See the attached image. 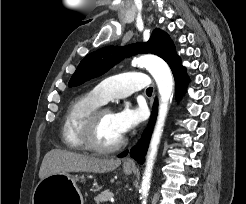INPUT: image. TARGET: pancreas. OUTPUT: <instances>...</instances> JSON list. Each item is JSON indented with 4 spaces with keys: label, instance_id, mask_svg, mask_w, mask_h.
I'll return each instance as SVG.
<instances>
[{
    "label": "pancreas",
    "instance_id": "cf45deb5",
    "mask_svg": "<svg viewBox=\"0 0 246 204\" xmlns=\"http://www.w3.org/2000/svg\"><path fill=\"white\" fill-rule=\"evenodd\" d=\"M112 196H113L112 192H110L109 190H105L102 193L95 196L94 200L96 204H104L105 202H108Z\"/></svg>",
    "mask_w": 246,
    "mask_h": 204
}]
</instances>
